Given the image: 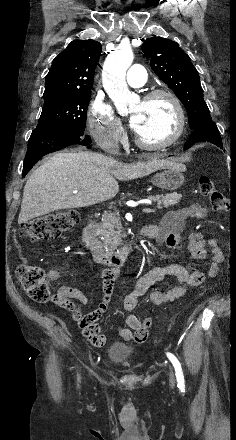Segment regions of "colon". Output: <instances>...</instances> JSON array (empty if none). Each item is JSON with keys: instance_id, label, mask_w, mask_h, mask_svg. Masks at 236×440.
<instances>
[{"instance_id": "5ec220e1", "label": "colon", "mask_w": 236, "mask_h": 440, "mask_svg": "<svg viewBox=\"0 0 236 440\" xmlns=\"http://www.w3.org/2000/svg\"><path fill=\"white\" fill-rule=\"evenodd\" d=\"M200 192L206 196L212 209L216 212H226L231 215L234 212L232 204L228 203L226 196L217 188L208 176H200L198 179ZM80 214L75 209L53 212L37 217L21 225L19 233L31 242H40L61 235L72 229L79 221ZM17 279L22 288L31 299L38 303H47L51 300L49 290L50 276L39 266L22 263L16 270ZM55 300V298H54ZM152 319L145 318L142 324L152 326ZM147 331V337L149 334ZM143 341L145 339H135Z\"/></svg>"}]
</instances>
